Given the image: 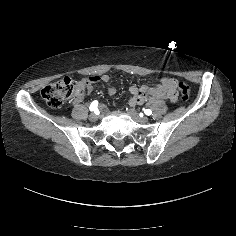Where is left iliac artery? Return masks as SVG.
Listing matches in <instances>:
<instances>
[{
  "instance_id": "obj_1",
  "label": "left iliac artery",
  "mask_w": 236,
  "mask_h": 236,
  "mask_svg": "<svg viewBox=\"0 0 236 236\" xmlns=\"http://www.w3.org/2000/svg\"><path fill=\"white\" fill-rule=\"evenodd\" d=\"M144 113L149 116L152 114V111L150 109H144Z\"/></svg>"
}]
</instances>
